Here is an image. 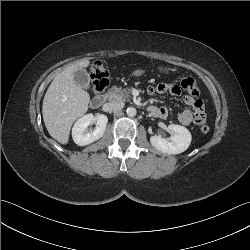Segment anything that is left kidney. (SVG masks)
<instances>
[{
	"label": "left kidney",
	"instance_id": "left-kidney-1",
	"mask_svg": "<svg viewBox=\"0 0 250 250\" xmlns=\"http://www.w3.org/2000/svg\"><path fill=\"white\" fill-rule=\"evenodd\" d=\"M168 129L174 132V135L166 139L160 135L150 137L152 146L166 154H180L188 149L191 143V133L181 125L171 124Z\"/></svg>",
	"mask_w": 250,
	"mask_h": 250
}]
</instances>
